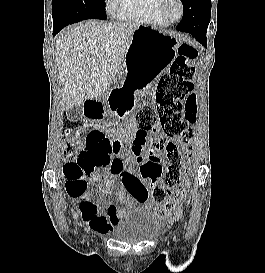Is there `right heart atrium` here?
Masks as SVG:
<instances>
[{"instance_id":"obj_1","label":"right heart atrium","mask_w":265,"mask_h":273,"mask_svg":"<svg viewBox=\"0 0 265 273\" xmlns=\"http://www.w3.org/2000/svg\"><path fill=\"white\" fill-rule=\"evenodd\" d=\"M119 4H120V0H107V2H106L107 8L111 12H115L117 10Z\"/></svg>"}]
</instances>
